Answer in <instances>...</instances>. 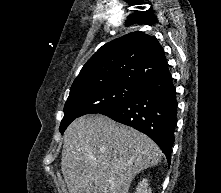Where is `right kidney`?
<instances>
[{
    "instance_id": "ca27d5eb",
    "label": "right kidney",
    "mask_w": 221,
    "mask_h": 193,
    "mask_svg": "<svg viewBox=\"0 0 221 193\" xmlns=\"http://www.w3.org/2000/svg\"><path fill=\"white\" fill-rule=\"evenodd\" d=\"M135 193H152L151 189L148 188V181H147V179H143L142 181H140L138 187L136 188V192Z\"/></svg>"
}]
</instances>
